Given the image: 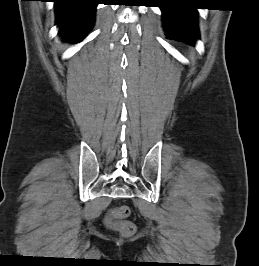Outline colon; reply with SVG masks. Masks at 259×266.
Returning <instances> with one entry per match:
<instances>
[{"mask_svg":"<svg viewBox=\"0 0 259 266\" xmlns=\"http://www.w3.org/2000/svg\"><path fill=\"white\" fill-rule=\"evenodd\" d=\"M130 212V208L126 205L115 207L109 212L105 223L109 228L117 231L122 236L129 237L136 230L134 223L127 220Z\"/></svg>","mask_w":259,"mask_h":266,"instance_id":"5ec220e1","label":"colon"}]
</instances>
